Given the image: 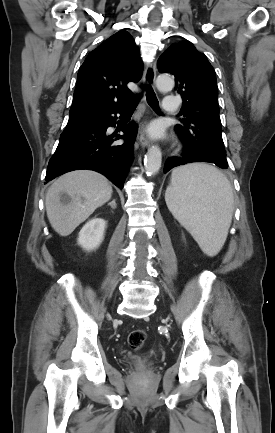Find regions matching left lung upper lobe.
I'll list each match as a JSON object with an SVG mask.
<instances>
[{"label": "left lung upper lobe", "mask_w": 275, "mask_h": 433, "mask_svg": "<svg viewBox=\"0 0 275 433\" xmlns=\"http://www.w3.org/2000/svg\"><path fill=\"white\" fill-rule=\"evenodd\" d=\"M161 73L175 76V87L184 99V119L176 132L186 155L195 162L228 168L221 135L215 71L206 56L189 41L172 44L158 59Z\"/></svg>", "instance_id": "5c2ea615"}]
</instances>
